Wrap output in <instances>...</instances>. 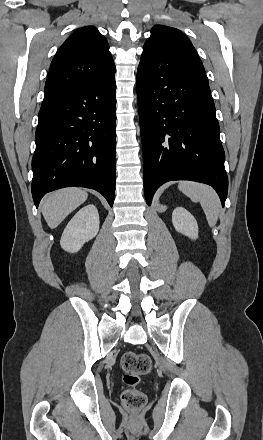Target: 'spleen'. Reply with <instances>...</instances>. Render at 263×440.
Instances as JSON below:
<instances>
[{
  "instance_id": "1",
  "label": "spleen",
  "mask_w": 263,
  "mask_h": 440,
  "mask_svg": "<svg viewBox=\"0 0 263 440\" xmlns=\"http://www.w3.org/2000/svg\"><path fill=\"white\" fill-rule=\"evenodd\" d=\"M178 189L193 202H200L210 227H213L221 211L220 199L209 185L193 181H179Z\"/></svg>"
}]
</instances>
